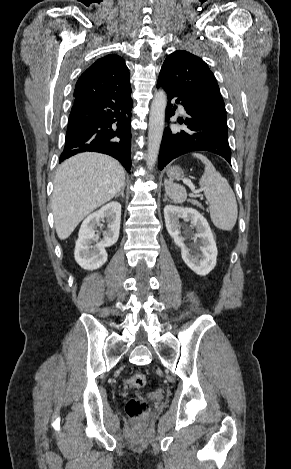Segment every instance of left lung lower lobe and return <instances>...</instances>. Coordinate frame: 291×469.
<instances>
[{
  "label": "left lung lower lobe",
  "instance_id": "1",
  "mask_svg": "<svg viewBox=\"0 0 291 469\" xmlns=\"http://www.w3.org/2000/svg\"><path fill=\"white\" fill-rule=\"evenodd\" d=\"M157 87L165 89L168 97L166 120L174 115L177 106L181 104L187 117L178 122L185 123L187 130L172 132L169 127L164 130L158 165L163 169L171 160L192 151H209L224 157L231 163V150L228 143V129L226 114L205 106L189 97L178 94L163 83L157 82Z\"/></svg>",
  "mask_w": 291,
  "mask_h": 469
}]
</instances>
